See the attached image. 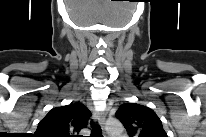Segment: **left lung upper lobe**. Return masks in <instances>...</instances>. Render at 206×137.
<instances>
[{
  "label": "left lung upper lobe",
  "mask_w": 206,
  "mask_h": 137,
  "mask_svg": "<svg viewBox=\"0 0 206 137\" xmlns=\"http://www.w3.org/2000/svg\"><path fill=\"white\" fill-rule=\"evenodd\" d=\"M130 137H167L156 113L136 103L122 104L116 112Z\"/></svg>",
  "instance_id": "5c2ea615"
}]
</instances>
